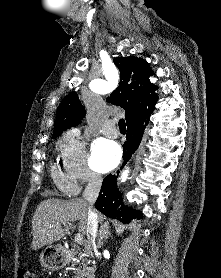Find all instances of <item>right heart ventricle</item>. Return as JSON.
Here are the masks:
<instances>
[{"label":"right heart ventricle","mask_w":221,"mask_h":278,"mask_svg":"<svg viewBox=\"0 0 221 278\" xmlns=\"http://www.w3.org/2000/svg\"><path fill=\"white\" fill-rule=\"evenodd\" d=\"M52 174L57 185L66 191H74L77 186L74 179L68 174L66 170H62L59 164L52 167Z\"/></svg>","instance_id":"obj_1"}]
</instances>
